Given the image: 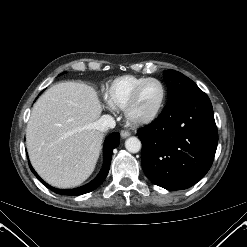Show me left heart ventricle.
<instances>
[{
    "label": "left heart ventricle",
    "instance_id": "left-heart-ventricle-1",
    "mask_svg": "<svg viewBox=\"0 0 247 247\" xmlns=\"http://www.w3.org/2000/svg\"><path fill=\"white\" fill-rule=\"evenodd\" d=\"M162 97L161 86L156 82L146 84L131 108V115L140 119L151 115L158 107Z\"/></svg>",
    "mask_w": 247,
    "mask_h": 247
}]
</instances>
